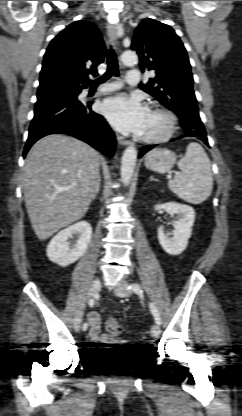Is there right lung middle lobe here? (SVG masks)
Wrapping results in <instances>:
<instances>
[{
  "mask_svg": "<svg viewBox=\"0 0 242 416\" xmlns=\"http://www.w3.org/2000/svg\"><path fill=\"white\" fill-rule=\"evenodd\" d=\"M80 90H75V89H64V90H60L59 92L53 94H68V95H76Z\"/></svg>",
  "mask_w": 242,
  "mask_h": 416,
  "instance_id": "1",
  "label": "right lung middle lobe"
}]
</instances>
